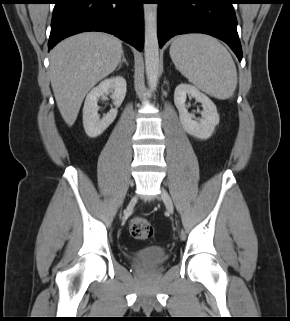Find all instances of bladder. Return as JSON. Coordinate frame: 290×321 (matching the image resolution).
I'll list each match as a JSON object with an SVG mask.
<instances>
[{
    "mask_svg": "<svg viewBox=\"0 0 290 321\" xmlns=\"http://www.w3.org/2000/svg\"><path fill=\"white\" fill-rule=\"evenodd\" d=\"M168 251L157 245H149L137 250L129 256L132 263L141 265L160 266L168 259Z\"/></svg>",
    "mask_w": 290,
    "mask_h": 321,
    "instance_id": "bladder-1",
    "label": "bladder"
}]
</instances>
